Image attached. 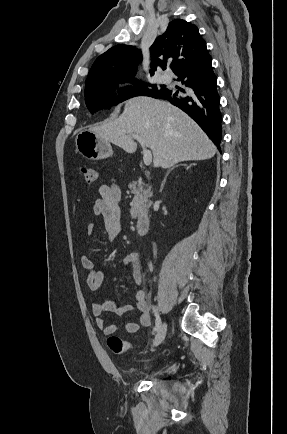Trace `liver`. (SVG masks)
Listing matches in <instances>:
<instances>
[{
    "instance_id": "6515ba94",
    "label": "liver",
    "mask_w": 287,
    "mask_h": 434,
    "mask_svg": "<svg viewBox=\"0 0 287 434\" xmlns=\"http://www.w3.org/2000/svg\"><path fill=\"white\" fill-rule=\"evenodd\" d=\"M90 130L128 153L137 149L132 135H139L152 150L154 166L165 169L182 161L210 159L217 151L186 113L150 97L129 100L119 118Z\"/></svg>"
}]
</instances>
